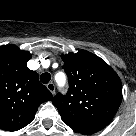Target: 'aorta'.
<instances>
[{"label":"aorta","instance_id":"762f6f07","mask_svg":"<svg viewBox=\"0 0 136 136\" xmlns=\"http://www.w3.org/2000/svg\"><path fill=\"white\" fill-rule=\"evenodd\" d=\"M58 77H60V79H58ZM65 80H66V79H65V75H64L63 73L57 74V76H56V81H57V83H58L59 86L64 85Z\"/></svg>","mask_w":136,"mask_h":136}]
</instances>
